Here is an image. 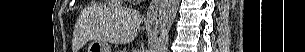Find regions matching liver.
I'll return each instance as SVG.
<instances>
[{
    "label": "liver",
    "instance_id": "6515ba94",
    "mask_svg": "<svg viewBox=\"0 0 305 52\" xmlns=\"http://www.w3.org/2000/svg\"><path fill=\"white\" fill-rule=\"evenodd\" d=\"M141 22L142 17L138 11L115 4L104 10L98 27L88 25L86 30L89 39L127 44L135 39Z\"/></svg>",
    "mask_w": 305,
    "mask_h": 52
}]
</instances>
